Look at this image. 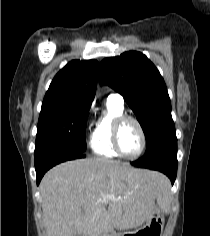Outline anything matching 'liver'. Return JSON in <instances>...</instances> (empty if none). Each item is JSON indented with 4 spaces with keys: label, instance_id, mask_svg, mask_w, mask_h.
<instances>
[{
    "label": "liver",
    "instance_id": "liver-1",
    "mask_svg": "<svg viewBox=\"0 0 210 236\" xmlns=\"http://www.w3.org/2000/svg\"><path fill=\"white\" fill-rule=\"evenodd\" d=\"M168 187L163 174L118 161L93 157L61 163L40 184L47 236H102L112 228H137L163 203Z\"/></svg>",
    "mask_w": 210,
    "mask_h": 236
}]
</instances>
